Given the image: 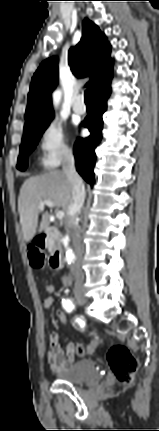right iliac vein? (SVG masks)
<instances>
[{"instance_id": "63e3f726", "label": "right iliac vein", "mask_w": 159, "mask_h": 431, "mask_svg": "<svg viewBox=\"0 0 159 431\" xmlns=\"http://www.w3.org/2000/svg\"><path fill=\"white\" fill-rule=\"evenodd\" d=\"M75 299L80 306H84L87 302L86 297L82 291H75Z\"/></svg>"}]
</instances>
